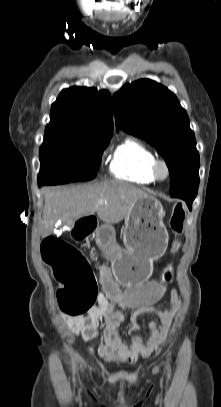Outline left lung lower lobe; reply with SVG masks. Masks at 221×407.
<instances>
[{
  "label": "left lung lower lobe",
  "instance_id": "1",
  "mask_svg": "<svg viewBox=\"0 0 221 407\" xmlns=\"http://www.w3.org/2000/svg\"><path fill=\"white\" fill-rule=\"evenodd\" d=\"M198 183L182 187L180 189H177L173 193H170L172 197H177L181 198L186 201L188 208L191 210L192 209V202L196 197L197 191H198Z\"/></svg>",
  "mask_w": 221,
  "mask_h": 407
}]
</instances>
